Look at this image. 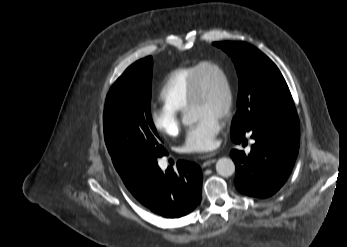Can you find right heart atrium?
I'll list each match as a JSON object with an SVG mask.
<instances>
[{"label":"right heart atrium","mask_w":347,"mask_h":247,"mask_svg":"<svg viewBox=\"0 0 347 247\" xmlns=\"http://www.w3.org/2000/svg\"><path fill=\"white\" fill-rule=\"evenodd\" d=\"M150 120L159 133L166 136H175L180 130V119L177 111L162 105L150 110Z\"/></svg>","instance_id":"1"}]
</instances>
